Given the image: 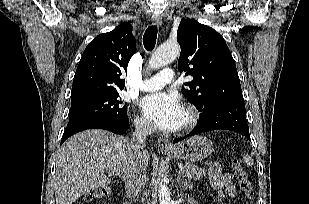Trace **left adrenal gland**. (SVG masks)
I'll return each instance as SVG.
<instances>
[{
    "instance_id": "1",
    "label": "left adrenal gland",
    "mask_w": 309,
    "mask_h": 204,
    "mask_svg": "<svg viewBox=\"0 0 309 204\" xmlns=\"http://www.w3.org/2000/svg\"><path fill=\"white\" fill-rule=\"evenodd\" d=\"M177 182L179 184V187L183 188L184 190H192V185L190 182L185 181L182 177L181 174H178L177 176Z\"/></svg>"
}]
</instances>
